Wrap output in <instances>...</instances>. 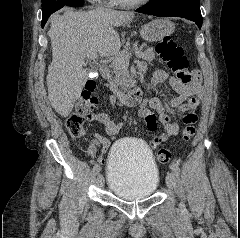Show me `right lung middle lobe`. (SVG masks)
Here are the masks:
<instances>
[{
  "instance_id": "1",
  "label": "right lung middle lobe",
  "mask_w": 240,
  "mask_h": 238,
  "mask_svg": "<svg viewBox=\"0 0 240 238\" xmlns=\"http://www.w3.org/2000/svg\"><path fill=\"white\" fill-rule=\"evenodd\" d=\"M74 0H42V22L47 21L49 16L63 6H69Z\"/></svg>"
}]
</instances>
